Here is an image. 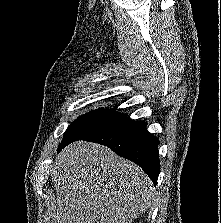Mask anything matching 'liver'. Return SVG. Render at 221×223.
<instances>
[{"label": "liver", "instance_id": "obj_1", "mask_svg": "<svg viewBox=\"0 0 221 223\" xmlns=\"http://www.w3.org/2000/svg\"><path fill=\"white\" fill-rule=\"evenodd\" d=\"M56 202L50 223H131L155 197L145 172L109 148L78 141L53 164Z\"/></svg>", "mask_w": 221, "mask_h": 223}]
</instances>
